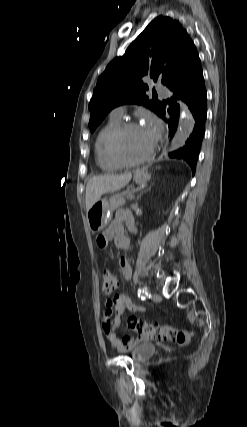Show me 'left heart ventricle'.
I'll use <instances>...</instances> for the list:
<instances>
[{
    "label": "left heart ventricle",
    "instance_id": "left-heart-ventricle-1",
    "mask_svg": "<svg viewBox=\"0 0 247 427\" xmlns=\"http://www.w3.org/2000/svg\"><path fill=\"white\" fill-rule=\"evenodd\" d=\"M154 142L142 127L129 130L123 137L121 148L126 158L134 160L144 156Z\"/></svg>",
    "mask_w": 247,
    "mask_h": 427
}]
</instances>
